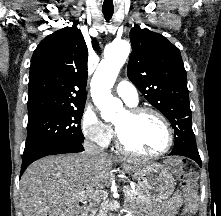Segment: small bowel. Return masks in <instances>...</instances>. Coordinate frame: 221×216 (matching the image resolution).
Here are the masks:
<instances>
[{
    "label": "small bowel",
    "instance_id": "1",
    "mask_svg": "<svg viewBox=\"0 0 221 216\" xmlns=\"http://www.w3.org/2000/svg\"><path fill=\"white\" fill-rule=\"evenodd\" d=\"M196 206L195 197L187 198L181 193H175L172 198L163 205L159 216H175L179 209H182L183 216H194Z\"/></svg>",
    "mask_w": 221,
    "mask_h": 216
}]
</instances>
